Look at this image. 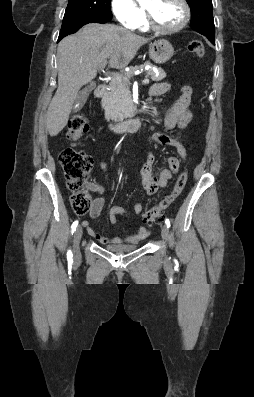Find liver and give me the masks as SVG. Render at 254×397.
<instances>
[{"label":"liver","mask_w":254,"mask_h":397,"mask_svg":"<svg viewBox=\"0 0 254 397\" xmlns=\"http://www.w3.org/2000/svg\"><path fill=\"white\" fill-rule=\"evenodd\" d=\"M148 41L110 24H88L62 39L58 45V88L46 116L50 136L66 126L78 91L96 77L100 63L110 59V67H125Z\"/></svg>","instance_id":"liver-1"}]
</instances>
